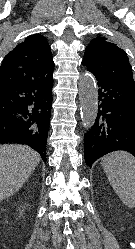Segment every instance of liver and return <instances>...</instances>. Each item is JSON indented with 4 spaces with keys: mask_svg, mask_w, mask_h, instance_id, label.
<instances>
[{
    "mask_svg": "<svg viewBox=\"0 0 135 249\" xmlns=\"http://www.w3.org/2000/svg\"><path fill=\"white\" fill-rule=\"evenodd\" d=\"M40 160V155L28 146L0 145V201L22 187Z\"/></svg>",
    "mask_w": 135,
    "mask_h": 249,
    "instance_id": "obj_1",
    "label": "liver"
}]
</instances>
